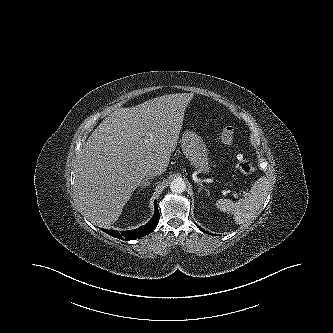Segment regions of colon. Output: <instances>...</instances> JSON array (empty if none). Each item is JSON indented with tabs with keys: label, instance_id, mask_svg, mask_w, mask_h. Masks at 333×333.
Returning <instances> with one entry per match:
<instances>
[{
	"label": "colon",
	"instance_id": "colon-1",
	"mask_svg": "<svg viewBox=\"0 0 333 333\" xmlns=\"http://www.w3.org/2000/svg\"><path fill=\"white\" fill-rule=\"evenodd\" d=\"M221 140L226 146L232 147L235 140V129L231 126L225 127L221 133ZM236 167L240 173L246 176L252 175L255 171L254 164L241 155L236 158Z\"/></svg>",
	"mask_w": 333,
	"mask_h": 333
}]
</instances>
